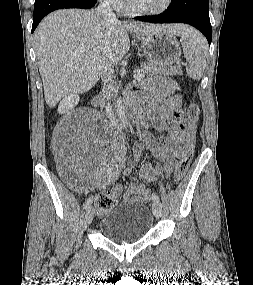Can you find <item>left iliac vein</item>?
Masks as SVG:
<instances>
[{
	"instance_id": "obj_1",
	"label": "left iliac vein",
	"mask_w": 253,
	"mask_h": 285,
	"mask_svg": "<svg viewBox=\"0 0 253 285\" xmlns=\"http://www.w3.org/2000/svg\"><path fill=\"white\" fill-rule=\"evenodd\" d=\"M152 211L156 218H160L162 215V207L160 203L154 202L152 205Z\"/></svg>"
}]
</instances>
